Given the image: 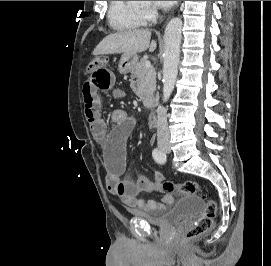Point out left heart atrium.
Wrapping results in <instances>:
<instances>
[{
  "mask_svg": "<svg viewBox=\"0 0 271 266\" xmlns=\"http://www.w3.org/2000/svg\"><path fill=\"white\" fill-rule=\"evenodd\" d=\"M154 2L157 6L166 8L173 5L176 1H154Z\"/></svg>",
  "mask_w": 271,
  "mask_h": 266,
  "instance_id": "left-heart-atrium-1",
  "label": "left heart atrium"
}]
</instances>
